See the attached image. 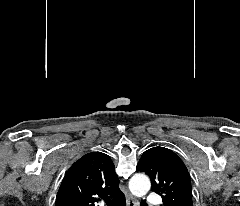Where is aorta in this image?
<instances>
[{
	"label": "aorta",
	"mask_w": 240,
	"mask_h": 206,
	"mask_svg": "<svg viewBox=\"0 0 240 206\" xmlns=\"http://www.w3.org/2000/svg\"><path fill=\"white\" fill-rule=\"evenodd\" d=\"M150 187V180L145 174H135L129 181V189L136 197L146 195L150 190Z\"/></svg>",
	"instance_id": "1"
}]
</instances>
